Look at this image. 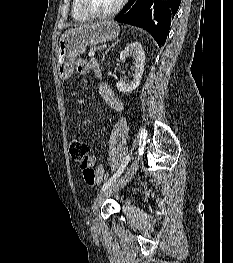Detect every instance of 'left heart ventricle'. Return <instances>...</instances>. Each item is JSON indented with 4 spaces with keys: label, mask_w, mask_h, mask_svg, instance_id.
Returning <instances> with one entry per match:
<instances>
[{
    "label": "left heart ventricle",
    "mask_w": 233,
    "mask_h": 263,
    "mask_svg": "<svg viewBox=\"0 0 233 263\" xmlns=\"http://www.w3.org/2000/svg\"><path fill=\"white\" fill-rule=\"evenodd\" d=\"M120 0H85L89 9L94 12H105L114 8Z\"/></svg>",
    "instance_id": "b2bd125f"
}]
</instances>
